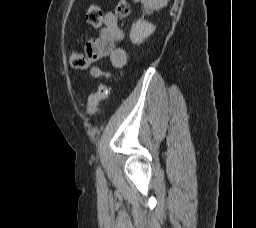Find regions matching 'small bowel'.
<instances>
[{
	"instance_id": "obj_1",
	"label": "small bowel",
	"mask_w": 256,
	"mask_h": 228,
	"mask_svg": "<svg viewBox=\"0 0 256 228\" xmlns=\"http://www.w3.org/2000/svg\"><path fill=\"white\" fill-rule=\"evenodd\" d=\"M124 39V33L118 25L117 17L112 12H107L103 20V30L99 38L91 39L86 46V54L92 62L102 60L106 57L111 64L120 68L126 64L127 53L124 48L116 46V43ZM93 78L110 77L111 74L103 72L98 67L90 69Z\"/></svg>"
}]
</instances>
